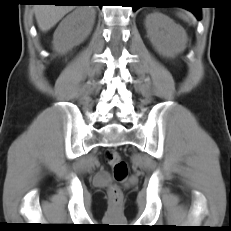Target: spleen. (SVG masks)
<instances>
[{"mask_svg": "<svg viewBox=\"0 0 231 231\" xmlns=\"http://www.w3.org/2000/svg\"><path fill=\"white\" fill-rule=\"evenodd\" d=\"M182 17H183L186 21L189 20V18H188L187 16H185V15H182Z\"/></svg>", "mask_w": 231, "mask_h": 231, "instance_id": "1", "label": "spleen"}]
</instances>
